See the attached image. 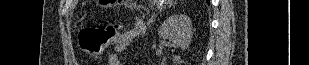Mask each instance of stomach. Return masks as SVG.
Returning a JSON list of instances; mask_svg holds the SVG:
<instances>
[{
	"mask_svg": "<svg viewBox=\"0 0 309 65\" xmlns=\"http://www.w3.org/2000/svg\"><path fill=\"white\" fill-rule=\"evenodd\" d=\"M123 0H101L99 3L102 7H112L123 4Z\"/></svg>",
	"mask_w": 309,
	"mask_h": 65,
	"instance_id": "0dacf381",
	"label": "stomach"
}]
</instances>
